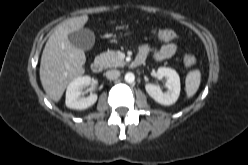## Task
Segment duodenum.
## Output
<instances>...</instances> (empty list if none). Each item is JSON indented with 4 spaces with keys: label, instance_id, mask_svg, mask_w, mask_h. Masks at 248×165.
Instances as JSON below:
<instances>
[{
    "label": "duodenum",
    "instance_id": "410a0bca",
    "mask_svg": "<svg viewBox=\"0 0 248 165\" xmlns=\"http://www.w3.org/2000/svg\"><path fill=\"white\" fill-rule=\"evenodd\" d=\"M144 62V59L142 57H137L136 60L133 62V66L137 67L142 65ZM104 62L101 58L95 59L91 64V70L94 73H100L103 70Z\"/></svg>",
    "mask_w": 248,
    "mask_h": 165
}]
</instances>
